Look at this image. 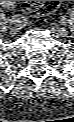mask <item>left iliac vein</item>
<instances>
[{
    "label": "left iliac vein",
    "instance_id": "left-iliac-vein-1",
    "mask_svg": "<svg viewBox=\"0 0 74 122\" xmlns=\"http://www.w3.org/2000/svg\"><path fill=\"white\" fill-rule=\"evenodd\" d=\"M69 21L68 17L62 16L61 18V23L66 24ZM56 35L57 36H66L67 35V30L64 27H56L55 28Z\"/></svg>",
    "mask_w": 74,
    "mask_h": 122
}]
</instances>
